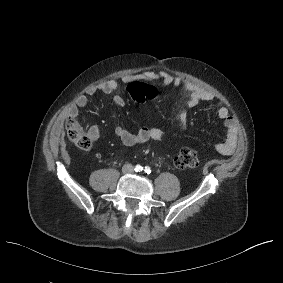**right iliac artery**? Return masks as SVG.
Instances as JSON below:
<instances>
[{
	"mask_svg": "<svg viewBox=\"0 0 283 283\" xmlns=\"http://www.w3.org/2000/svg\"><path fill=\"white\" fill-rule=\"evenodd\" d=\"M134 170H135L136 172H140V171L143 170V167L140 166V165H136Z\"/></svg>",
	"mask_w": 283,
	"mask_h": 283,
	"instance_id": "obj_1",
	"label": "right iliac artery"
}]
</instances>
